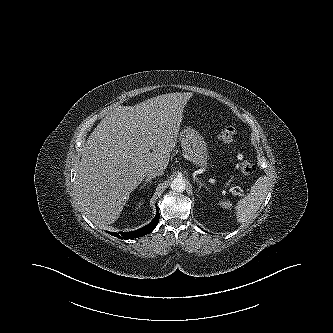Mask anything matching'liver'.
Returning <instances> with one entry per match:
<instances>
[{
  "instance_id": "liver-1",
  "label": "liver",
  "mask_w": 333,
  "mask_h": 333,
  "mask_svg": "<svg viewBox=\"0 0 333 333\" xmlns=\"http://www.w3.org/2000/svg\"><path fill=\"white\" fill-rule=\"evenodd\" d=\"M191 97L168 93L118 106L97 125L83 148L74 189L91 222L114 223L148 170L166 169Z\"/></svg>"
}]
</instances>
